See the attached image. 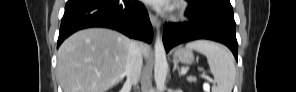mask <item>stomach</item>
Here are the masks:
<instances>
[{"label": "stomach", "instance_id": "obj_1", "mask_svg": "<svg viewBox=\"0 0 296 92\" xmlns=\"http://www.w3.org/2000/svg\"><path fill=\"white\" fill-rule=\"evenodd\" d=\"M174 59L182 64L191 65L194 62V54L187 48H178L174 53Z\"/></svg>", "mask_w": 296, "mask_h": 92}]
</instances>
